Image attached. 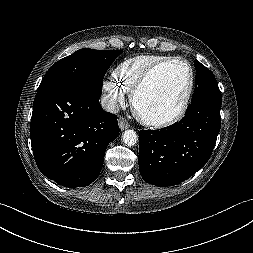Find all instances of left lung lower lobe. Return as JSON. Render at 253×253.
Returning a JSON list of instances; mask_svg holds the SVG:
<instances>
[{"label": "left lung lower lobe", "instance_id": "1", "mask_svg": "<svg viewBox=\"0 0 253 253\" xmlns=\"http://www.w3.org/2000/svg\"><path fill=\"white\" fill-rule=\"evenodd\" d=\"M222 98L191 102L171 126L139 133V170L147 183L173 186L191 177L211 156L221 126Z\"/></svg>", "mask_w": 253, "mask_h": 253}]
</instances>
